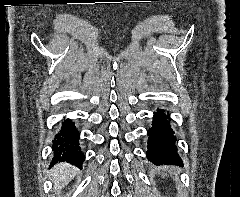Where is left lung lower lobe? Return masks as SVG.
Wrapping results in <instances>:
<instances>
[{
  "mask_svg": "<svg viewBox=\"0 0 240 197\" xmlns=\"http://www.w3.org/2000/svg\"><path fill=\"white\" fill-rule=\"evenodd\" d=\"M154 114L152 128L148 131V159L157 165H182L175 146L176 137L169 125L168 117L164 114V110H157Z\"/></svg>",
  "mask_w": 240,
  "mask_h": 197,
  "instance_id": "1",
  "label": "left lung lower lobe"
}]
</instances>
